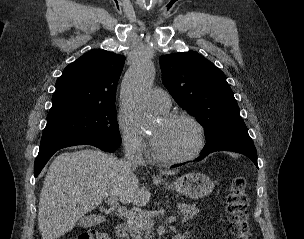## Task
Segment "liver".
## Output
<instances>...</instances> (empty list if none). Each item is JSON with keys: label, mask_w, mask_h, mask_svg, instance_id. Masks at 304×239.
<instances>
[{"label": "liver", "mask_w": 304, "mask_h": 239, "mask_svg": "<svg viewBox=\"0 0 304 239\" xmlns=\"http://www.w3.org/2000/svg\"><path fill=\"white\" fill-rule=\"evenodd\" d=\"M133 171L126 161L100 150L81 149L58 155L47 171L40 193L38 226L42 238L65 235L107 197L145 206L151 194ZM164 174L174 175L175 171Z\"/></svg>", "instance_id": "obj_1"}]
</instances>
